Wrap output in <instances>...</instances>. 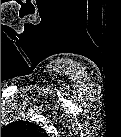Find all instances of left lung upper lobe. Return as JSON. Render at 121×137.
Returning <instances> with one entry per match:
<instances>
[{
	"label": "left lung upper lobe",
	"instance_id": "obj_1",
	"mask_svg": "<svg viewBox=\"0 0 121 137\" xmlns=\"http://www.w3.org/2000/svg\"><path fill=\"white\" fill-rule=\"evenodd\" d=\"M3 134L9 137H43L46 135L44 129L28 121L12 122L2 130Z\"/></svg>",
	"mask_w": 121,
	"mask_h": 137
}]
</instances>
